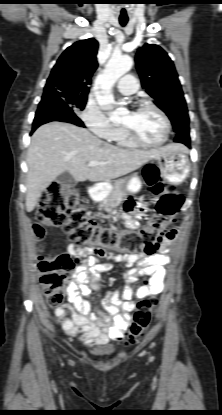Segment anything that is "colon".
<instances>
[{
  "label": "colon",
  "mask_w": 222,
  "mask_h": 415,
  "mask_svg": "<svg viewBox=\"0 0 222 415\" xmlns=\"http://www.w3.org/2000/svg\"><path fill=\"white\" fill-rule=\"evenodd\" d=\"M144 178L156 202L155 215L143 227L122 233L113 232L90 218L77 188L53 182L47 187L39 203L37 223L34 225L35 234L42 237L46 229L61 227L78 248L97 254H103L107 250L130 255L153 254L166 236L169 223L182 204V197L160 181L155 168L146 167ZM147 204V200L140 201V210H146ZM75 263L74 258L67 254L54 259L38 257L40 281L51 307H59L62 303L63 288ZM156 304L155 298L138 302L129 332V342L144 334Z\"/></svg>",
  "instance_id": "colon-1"
}]
</instances>
